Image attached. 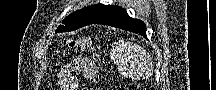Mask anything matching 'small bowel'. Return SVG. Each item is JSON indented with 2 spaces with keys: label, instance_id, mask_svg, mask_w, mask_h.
Instances as JSON below:
<instances>
[{
  "label": "small bowel",
  "instance_id": "c3829d8e",
  "mask_svg": "<svg viewBox=\"0 0 216 90\" xmlns=\"http://www.w3.org/2000/svg\"><path fill=\"white\" fill-rule=\"evenodd\" d=\"M80 71L87 78H94L97 70L92 63L70 64L66 66L58 75V82L61 90H78L77 79L73 72Z\"/></svg>",
  "mask_w": 216,
  "mask_h": 90
}]
</instances>
